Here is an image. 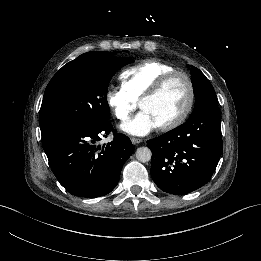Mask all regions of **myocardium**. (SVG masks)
<instances>
[{"mask_svg": "<svg viewBox=\"0 0 261 261\" xmlns=\"http://www.w3.org/2000/svg\"><path fill=\"white\" fill-rule=\"evenodd\" d=\"M176 77H182L185 79L187 86H188V92H189L188 100H187L186 105L183 108L182 112L177 117H175L171 121H169L161 126H158V129L161 131H169V130H172V129L178 127L186 120V118L190 114V112L193 108V105H194V101H195V87H194V83H193L191 77L186 72L178 71V70H173L168 73H165L152 86L150 91L147 94H145L139 101V107L141 108V106L144 102L152 100L155 97H157L165 89V87Z\"/></svg>", "mask_w": 261, "mask_h": 261, "instance_id": "obj_1", "label": "myocardium"}]
</instances>
